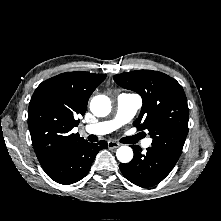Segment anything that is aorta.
Instances as JSON below:
<instances>
[{"label":"aorta","instance_id":"obj_1","mask_svg":"<svg viewBox=\"0 0 221 221\" xmlns=\"http://www.w3.org/2000/svg\"><path fill=\"white\" fill-rule=\"evenodd\" d=\"M111 108V101L105 95L93 97L90 103V110L97 117L107 116ZM116 157L121 163H129L133 158V150L129 146H121L117 149Z\"/></svg>","mask_w":221,"mask_h":221}]
</instances>
